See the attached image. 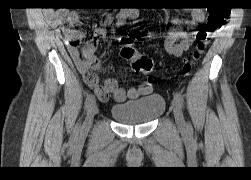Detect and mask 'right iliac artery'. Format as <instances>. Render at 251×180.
I'll return each instance as SVG.
<instances>
[{"instance_id":"1","label":"right iliac artery","mask_w":251,"mask_h":180,"mask_svg":"<svg viewBox=\"0 0 251 180\" xmlns=\"http://www.w3.org/2000/svg\"><path fill=\"white\" fill-rule=\"evenodd\" d=\"M95 102V97L93 94H88L87 95V98H86V101H85V106H84V109L87 110L91 105L92 103Z\"/></svg>"}]
</instances>
